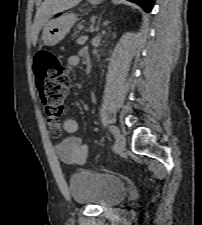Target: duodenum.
I'll return each instance as SVG.
<instances>
[{
  "instance_id": "duodenum-1",
  "label": "duodenum",
  "mask_w": 202,
  "mask_h": 225,
  "mask_svg": "<svg viewBox=\"0 0 202 225\" xmlns=\"http://www.w3.org/2000/svg\"><path fill=\"white\" fill-rule=\"evenodd\" d=\"M83 59L86 68L89 70L92 67V61H91V56L89 52H84L83 53Z\"/></svg>"
}]
</instances>
